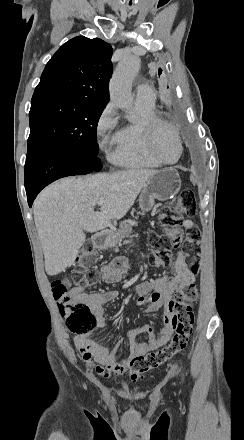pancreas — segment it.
<instances>
[{"instance_id":"1","label":"pancreas","mask_w":244,"mask_h":440,"mask_svg":"<svg viewBox=\"0 0 244 440\" xmlns=\"http://www.w3.org/2000/svg\"><path fill=\"white\" fill-rule=\"evenodd\" d=\"M109 234L111 238V244L109 248H117L119 242H122L124 238H128L129 236L127 232H122V230H120V232H109Z\"/></svg>"}]
</instances>
